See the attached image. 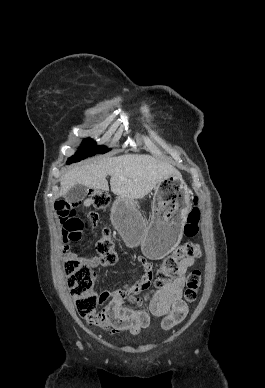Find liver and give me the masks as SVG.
Masks as SVG:
<instances>
[{
    "label": "liver",
    "mask_w": 265,
    "mask_h": 388,
    "mask_svg": "<svg viewBox=\"0 0 265 388\" xmlns=\"http://www.w3.org/2000/svg\"><path fill=\"white\" fill-rule=\"evenodd\" d=\"M106 176H111V192L127 200H141L156 188V184L166 178L171 176L181 178L176 168L167 162L156 160L153 156H139V154H126L116 158L107 156V158L86 160L80 166L68 170L60 180L61 190L57 198L67 194L75 184L108 192Z\"/></svg>",
    "instance_id": "1"
}]
</instances>
